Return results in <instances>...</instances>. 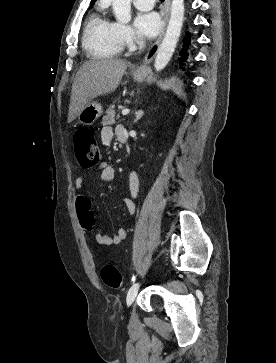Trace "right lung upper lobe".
I'll use <instances>...</instances> for the list:
<instances>
[{"mask_svg": "<svg viewBox=\"0 0 276 363\" xmlns=\"http://www.w3.org/2000/svg\"><path fill=\"white\" fill-rule=\"evenodd\" d=\"M96 0H92V2H91V6H93V4H94V2H95Z\"/></svg>", "mask_w": 276, "mask_h": 363, "instance_id": "right-lung-upper-lobe-1", "label": "right lung upper lobe"}]
</instances>
